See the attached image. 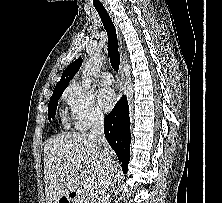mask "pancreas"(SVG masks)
Wrapping results in <instances>:
<instances>
[{
    "mask_svg": "<svg viewBox=\"0 0 222 203\" xmlns=\"http://www.w3.org/2000/svg\"><path fill=\"white\" fill-rule=\"evenodd\" d=\"M84 200L91 201L90 203H93V200H92V196H91V195L88 196V197H86Z\"/></svg>",
    "mask_w": 222,
    "mask_h": 203,
    "instance_id": "1",
    "label": "pancreas"
}]
</instances>
